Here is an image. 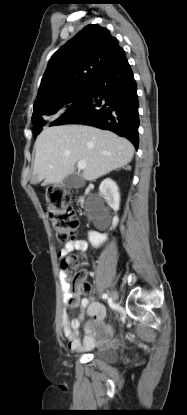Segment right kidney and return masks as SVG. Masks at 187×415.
<instances>
[{"label": "right kidney", "mask_w": 187, "mask_h": 415, "mask_svg": "<svg viewBox=\"0 0 187 415\" xmlns=\"http://www.w3.org/2000/svg\"><path fill=\"white\" fill-rule=\"evenodd\" d=\"M100 193L106 200L107 204L116 212L120 206V194L117 184L110 178L102 181L99 187ZM118 216H114L112 227L115 228L118 224ZM107 234H100L95 231L88 232V239L91 245L95 248L100 247L106 240Z\"/></svg>", "instance_id": "1"}]
</instances>
